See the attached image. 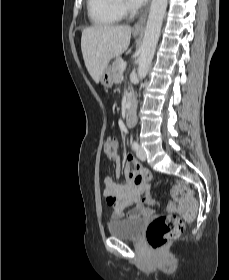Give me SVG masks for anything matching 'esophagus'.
<instances>
[{"label":"esophagus","mask_w":229,"mask_h":280,"mask_svg":"<svg viewBox=\"0 0 229 280\" xmlns=\"http://www.w3.org/2000/svg\"><path fill=\"white\" fill-rule=\"evenodd\" d=\"M148 11H149V4L146 6V8L143 11V13L141 14L140 18L138 19V21L134 25V30L139 31V30L144 29V24H145L147 15H148Z\"/></svg>","instance_id":"esophagus-1"}]
</instances>
